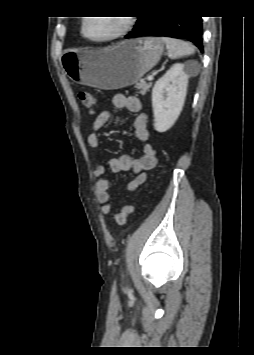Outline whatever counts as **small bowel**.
<instances>
[{"label": "small bowel", "mask_w": 254, "mask_h": 355, "mask_svg": "<svg viewBox=\"0 0 254 355\" xmlns=\"http://www.w3.org/2000/svg\"><path fill=\"white\" fill-rule=\"evenodd\" d=\"M112 104L116 109H127L130 112L137 113L133 121V130L135 137L144 143L143 153L139 157L123 154L108 160L109 167L113 172L132 171L135 173V177L127 184V190L132 191L146 183L148 172L156 167L158 158L156 150L149 143L148 116L145 113H140V99L136 96L117 94L113 97ZM110 118L111 113L105 110L100 112L92 122L91 131L87 138L88 144L92 149H100V132ZM106 171V167L102 164L97 165L94 169V175L98 179L96 194L101 204V212L104 215L109 214L112 210L110 185L108 180L105 179Z\"/></svg>", "instance_id": "obj_1"}]
</instances>
